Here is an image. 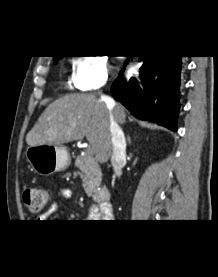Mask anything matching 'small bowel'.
<instances>
[{
    "label": "small bowel",
    "mask_w": 218,
    "mask_h": 277,
    "mask_svg": "<svg viewBox=\"0 0 218 277\" xmlns=\"http://www.w3.org/2000/svg\"><path fill=\"white\" fill-rule=\"evenodd\" d=\"M73 196H74V193L70 189H62V190H60L59 193H58V199H57V201L52 204V206L42 216V218L43 219H47L48 217L56 214L59 211V209H60L61 200H68V199L73 198ZM89 217L91 219H99V218H101V213L96 208L92 207L90 209V215H89Z\"/></svg>",
    "instance_id": "obj_1"
}]
</instances>
